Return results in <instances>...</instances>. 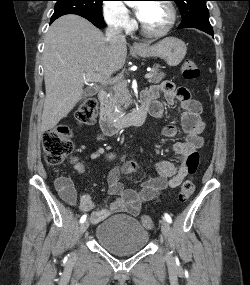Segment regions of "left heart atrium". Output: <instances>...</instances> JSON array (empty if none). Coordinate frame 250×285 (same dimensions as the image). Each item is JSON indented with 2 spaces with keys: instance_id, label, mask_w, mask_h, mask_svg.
Here are the masks:
<instances>
[{
  "instance_id": "obj_1",
  "label": "left heart atrium",
  "mask_w": 250,
  "mask_h": 285,
  "mask_svg": "<svg viewBox=\"0 0 250 285\" xmlns=\"http://www.w3.org/2000/svg\"><path fill=\"white\" fill-rule=\"evenodd\" d=\"M144 9H145V4H140L139 7L137 8V17L141 20L144 14Z\"/></svg>"
}]
</instances>
